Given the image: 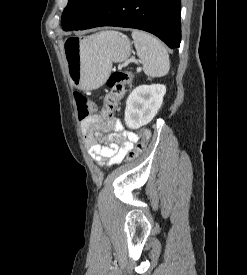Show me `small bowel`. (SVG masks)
<instances>
[{"instance_id": "1", "label": "small bowel", "mask_w": 247, "mask_h": 275, "mask_svg": "<svg viewBox=\"0 0 247 275\" xmlns=\"http://www.w3.org/2000/svg\"><path fill=\"white\" fill-rule=\"evenodd\" d=\"M89 153L100 165L113 166L120 163L138 141V135L125 130L116 117L103 120L94 114L82 122ZM103 135L104 132H111Z\"/></svg>"}]
</instances>
